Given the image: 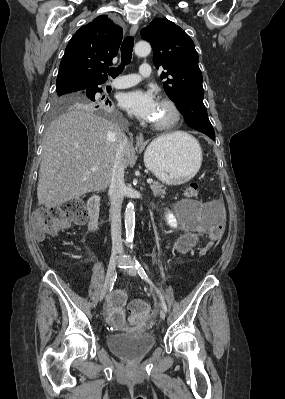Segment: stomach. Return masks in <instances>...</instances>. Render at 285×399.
<instances>
[{"label":"stomach","mask_w":285,"mask_h":399,"mask_svg":"<svg viewBox=\"0 0 285 399\" xmlns=\"http://www.w3.org/2000/svg\"><path fill=\"white\" fill-rule=\"evenodd\" d=\"M146 167L167 185H180L195 176L202 162L199 143L184 134L180 139L159 137L145 150Z\"/></svg>","instance_id":"1"}]
</instances>
